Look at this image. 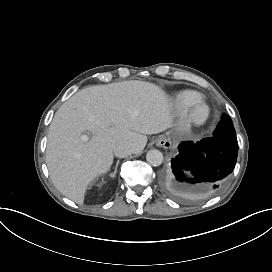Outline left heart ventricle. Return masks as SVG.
<instances>
[{
    "instance_id": "1",
    "label": "left heart ventricle",
    "mask_w": 272,
    "mask_h": 272,
    "mask_svg": "<svg viewBox=\"0 0 272 272\" xmlns=\"http://www.w3.org/2000/svg\"><path fill=\"white\" fill-rule=\"evenodd\" d=\"M190 116L195 121H203L207 116V107L204 103H198L190 109Z\"/></svg>"
}]
</instances>
